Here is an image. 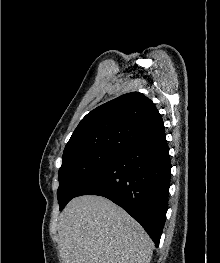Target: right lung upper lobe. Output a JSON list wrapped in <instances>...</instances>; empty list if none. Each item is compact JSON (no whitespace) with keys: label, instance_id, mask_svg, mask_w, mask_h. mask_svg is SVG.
Here are the masks:
<instances>
[{"label":"right lung upper lobe","instance_id":"obj_1","mask_svg":"<svg viewBox=\"0 0 220 263\" xmlns=\"http://www.w3.org/2000/svg\"><path fill=\"white\" fill-rule=\"evenodd\" d=\"M163 133V120L154 103L142 93H127L88 113L73 132L63 154L91 148L124 150L135 142Z\"/></svg>","mask_w":220,"mask_h":263}]
</instances>
